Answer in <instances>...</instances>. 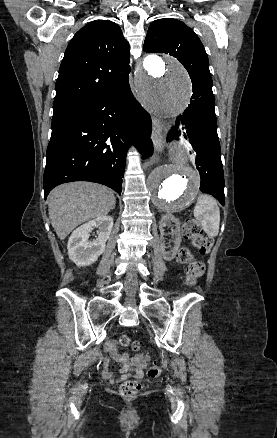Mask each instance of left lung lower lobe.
<instances>
[{
  "label": "left lung lower lobe",
  "instance_id": "left-lung-lower-lobe-1",
  "mask_svg": "<svg viewBox=\"0 0 277 438\" xmlns=\"http://www.w3.org/2000/svg\"><path fill=\"white\" fill-rule=\"evenodd\" d=\"M214 106L215 99L206 102L190 100L183 115L178 116L176 127L171 129L167 140L178 139L181 134L178 128L182 124L183 136L189 139L197 153L196 168L201 177L200 190L213 195L225 205L224 173Z\"/></svg>",
  "mask_w": 277,
  "mask_h": 438
}]
</instances>
